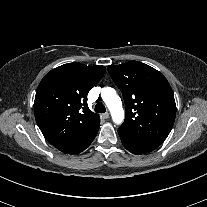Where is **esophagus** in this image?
Instances as JSON below:
<instances>
[{
	"label": "esophagus",
	"instance_id": "esophagus-1",
	"mask_svg": "<svg viewBox=\"0 0 207 207\" xmlns=\"http://www.w3.org/2000/svg\"><path fill=\"white\" fill-rule=\"evenodd\" d=\"M103 117H104L105 119L109 118V113H108V112L104 113V114H103Z\"/></svg>",
	"mask_w": 207,
	"mask_h": 207
}]
</instances>
